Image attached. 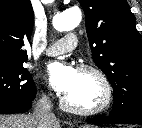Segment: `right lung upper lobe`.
<instances>
[{
    "mask_svg": "<svg viewBox=\"0 0 142 128\" xmlns=\"http://www.w3.org/2000/svg\"><path fill=\"white\" fill-rule=\"evenodd\" d=\"M33 18L30 0H0V66L26 62Z\"/></svg>",
    "mask_w": 142,
    "mask_h": 128,
    "instance_id": "1",
    "label": "right lung upper lobe"
}]
</instances>
